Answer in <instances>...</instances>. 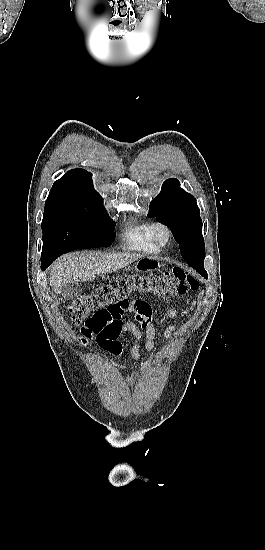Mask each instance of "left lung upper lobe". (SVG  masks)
<instances>
[{
    "label": "left lung upper lobe",
    "instance_id": "obj_1",
    "mask_svg": "<svg viewBox=\"0 0 265 550\" xmlns=\"http://www.w3.org/2000/svg\"><path fill=\"white\" fill-rule=\"evenodd\" d=\"M149 217L170 227L179 243L183 259L191 267H204L205 244L202 219L196 199L180 187L177 179H167L160 194L150 203Z\"/></svg>",
    "mask_w": 265,
    "mask_h": 550
}]
</instances>
